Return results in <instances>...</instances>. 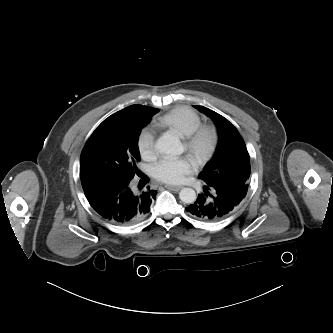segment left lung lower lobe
I'll return each instance as SVG.
<instances>
[{"label": "left lung lower lobe", "mask_w": 333, "mask_h": 333, "mask_svg": "<svg viewBox=\"0 0 333 333\" xmlns=\"http://www.w3.org/2000/svg\"><path fill=\"white\" fill-rule=\"evenodd\" d=\"M245 196L242 189L224 184H206L204 193L199 194L186 211L203 221H219L232 213Z\"/></svg>", "instance_id": "obj_1"}]
</instances>
